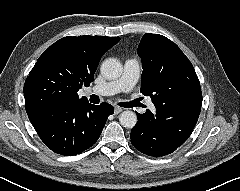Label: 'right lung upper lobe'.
<instances>
[{"instance_id":"obj_1","label":"right lung upper lobe","mask_w":240,"mask_h":191,"mask_svg":"<svg viewBox=\"0 0 240 191\" xmlns=\"http://www.w3.org/2000/svg\"><path fill=\"white\" fill-rule=\"evenodd\" d=\"M120 41V37H64L52 44L37 60L24 84L26 112L68 102H88L78 90L88 87L101 56Z\"/></svg>"}]
</instances>
